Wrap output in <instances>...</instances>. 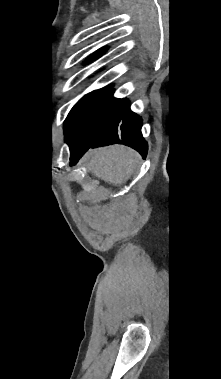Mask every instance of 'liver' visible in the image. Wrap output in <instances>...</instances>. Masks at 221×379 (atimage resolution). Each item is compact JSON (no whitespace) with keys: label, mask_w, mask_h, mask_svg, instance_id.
Segmentation results:
<instances>
[{"label":"liver","mask_w":221,"mask_h":379,"mask_svg":"<svg viewBox=\"0 0 221 379\" xmlns=\"http://www.w3.org/2000/svg\"><path fill=\"white\" fill-rule=\"evenodd\" d=\"M138 159L139 155L131 148L112 145L89 150L82 162L86 163L97 178L113 186H120L131 177Z\"/></svg>","instance_id":"liver-1"}]
</instances>
